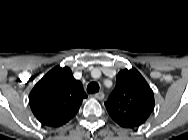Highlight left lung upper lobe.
Instances as JSON below:
<instances>
[{
  "label": "left lung upper lobe",
  "mask_w": 188,
  "mask_h": 140,
  "mask_svg": "<svg viewBox=\"0 0 188 140\" xmlns=\"http://www.w3.org/2000/svg\"><path fill=\"white\" fill-rule=\"evenodd\" d=\"M105 106L121 127H139L153 111V91L136 69H124L116 76V87Z\"/></svg>",
  "instance_id": "obj_1"
}]
</instances>
